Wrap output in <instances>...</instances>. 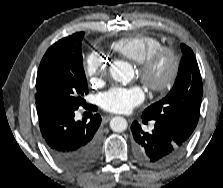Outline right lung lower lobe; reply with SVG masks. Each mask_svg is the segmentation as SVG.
<instances>
[{"mask_svg": "<svg viewBox=\"0 0 223 188\" xmlns=\"http://www.w3.org/2000/svg\"><path fill=\"white\" fill-rule=\"evenodd\" d=\"M36 107L46 147L59 165L80 170L97 160L100 153L99 114L93 115L89 121H76L74 116L79 106L36 102Z\"/></svg>", "mask_w": 223, "mask_h": 188, "instance_id": "98d812e1", "label": "right lung lower lobe"}]
</instances>
